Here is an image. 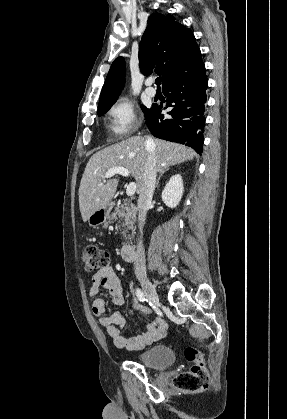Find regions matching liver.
Masks as SVG:
<instances>
[{
	"mask_svg": "<svg viewBox=\"0 0 287 419\" xmlns=\"http://www.w3.org/2000/svg\"><path fill=\"white\" fill-rule=\"evenodd\" d=\"M152 148L157 169L192 160L196 153L191 148L160 139H153ZM148 151L145 138L133 136L119 143L96 152L88 161L79 187V208L84 222L97 210L110 204L119 179L103 180L104 174L111 168L124 167L136 181L139 193L143 183V174Z\"/></svg>",
	"mask_w": 287,
	"mask_h": 419,
	"instance_id": "liver-1",
	"label": "liver"
}]
</instances>
